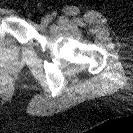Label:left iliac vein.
Returning <instances> with one entry per match:
<instances>
[{
  "label": "left iliac vein",
  "instance_id": "4c4485c4",
  "mask_svg": "<svg viewBox=\"0 0 133 133\" xmlns=\"http://www.w3.org/2000/svg\"><path fill=\"white\" fill-rule=\"evenodd\" d=\"M50 19H51V16L43 17V18L41 19V24H42L43 26H47L48 23L50 22Z\"/></svg>",
  "mask_w": 133,
  "mask_h": 133
}]
</instances>
